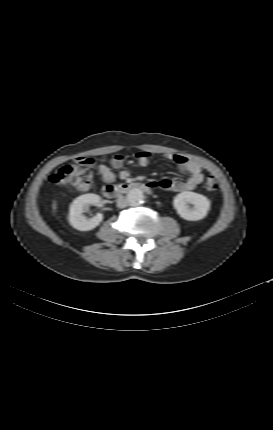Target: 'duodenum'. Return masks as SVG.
I'll use <instances>...</instances> for the list:
<instances>
[{
	"label": "duodenum",
	"instance_id": "duodenum-1",
	"mask_svg": "<svg viewBox=\"0 0 273 430\" xmlns=\"http://www.w3.org/2000/svg\"><path fill=\"white\" fill-rule=\"evenodd\" d=\"M151 187V184H144L139 182L124 183L121 185L109 183L103 188V195L107 198H116L122 194L133 190H139L142 192L149 193L151 192Z\"/></svg>",
	"mask_w": 273,
	"mask_h": 430
}]
</instances>
